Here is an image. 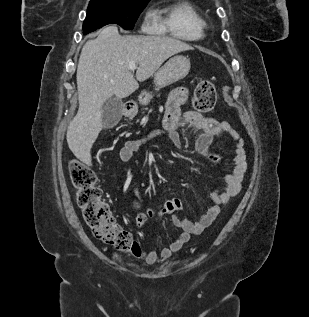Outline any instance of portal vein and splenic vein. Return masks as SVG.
Masks as SVG:
<instances>
[{
    "instance_id": "18ae733b",
    "label": "portal vein and splenic vein",
    "mask_w": 309,
    "mask_h": 317,
    "mask_svg": "<svg viewBox=\"0 0 309 317\" xmlns=\"http://www.w3.org/2000/svg\"><path fill=\"white\" fill-rule=\"evenodd\" d=\"M136 63L134 62V61H132L130 64H129V69L130 70H134V69H136Z\"/></svg>"
}]
</instances>
